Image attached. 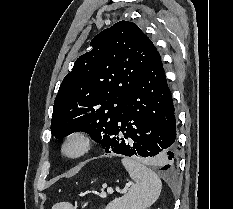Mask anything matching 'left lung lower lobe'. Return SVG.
<instances>
[{
  "instance_id": "left-lung-lower-lobe-1",
  "label": "left lung lower lobe",
  "mask_w": 233,
  "mask_h": 209,
  "mask_svg": "<svg viewBox=\"0 0 233 209\" xmlns=\"http://www.w3.org/2000/svg\"><path fill=\"white\" fill-rule=\"evenodd\" d=\"M176 119L160 54L157 52L132 87L124 111L102 139L106 153L137 156L173 168Z\"/></svg>"
}]
</instances>
